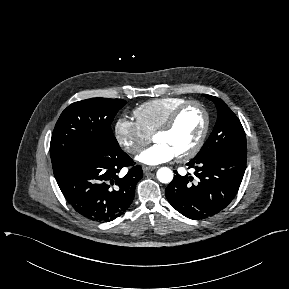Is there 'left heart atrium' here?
<instances>
[{
	"label": "left heart atrium",
	"mask_w": 289,
	"mask_h": 289,
	"mask_svg": "<svg viewBox=\"0 0 289 289\" xmlns=\"http://www.w3.org/2000/svg\"><path fill=\"white\" fill-rule=\"evenodd\" d=\"M174 157H176V155L170 147L163 143H155L143 150L136 159L147 165H158L168 162Z\"/></svg>",
	"instance_id": "left-heart-atrium-1"
}]
</instances>
